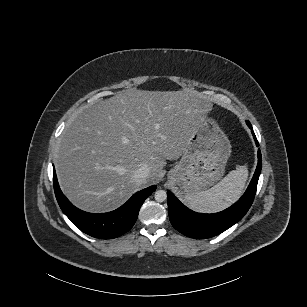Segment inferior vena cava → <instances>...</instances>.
<instances>
[{"instance_id": "602c4592", "label": "inferior vena cava", "mask_w": 307, "mask_h": 307, "mask_svg": "<svg viewBox=\"0 0 307 307\" xmlns=\"http://www.w3.org/2000/svg\"><path fill=\"white\" fill-rule=\"evenodd\" d=\"M148 176H149V166L147 164H142L133 173L134 183L136 185H141L147 180Z\"/></svg>"}]
</instances>
